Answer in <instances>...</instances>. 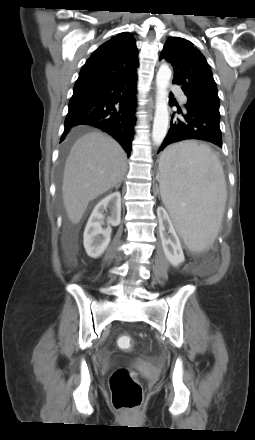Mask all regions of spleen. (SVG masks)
Listing matches in <instances>:
<instances>
[{
  "instance_id": "obj_1",
  "label": "spleen",
  "mask_w": 255,
  "mask_h": 440,
  "mask_svg": "<svg viewBox=\"0 0 255 440\" xmlns=\"http://www.w3.org/2000/svg\"><path fill=\"white\" fill-rule=\"evenodd\" d=\"M160 193L178 233L195 252L215 241L227 199L222 165L209 146L183 142L164 152Z\"/></svg>"
}]
</instances>
